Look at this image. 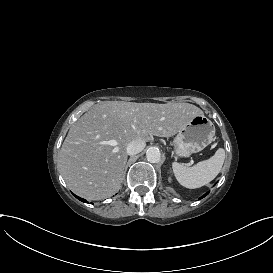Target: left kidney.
Wrapping results in <instances>:
<instances>
[{"label": "left kidney", "mask_w": 273, "mask_h": 273, "mask_svg": "<svg viewBox=\"0 0 273 273\" xmlns=\"http://www.w3.org/2000/svg\"><path fill=\"white\" fill-rule=\"evenodd\" d=\"M168 177H167V181L169 184H172L173 183V178H172V170L171 168H168L167 171H166Z\"/></svg>", "instance_id": "1"}]
</instances>
